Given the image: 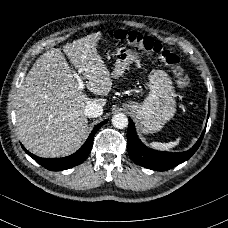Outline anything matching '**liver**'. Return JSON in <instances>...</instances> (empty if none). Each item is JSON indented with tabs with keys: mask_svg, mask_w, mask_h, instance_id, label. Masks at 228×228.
Masks as SVG:
<instances>
[{
	"mask_svg": "<svg viewBox=\"0 0 228 228\" xmlns=\"http://www.w3.org/2000/svg\"><path fill=\"white\" fill-rule=\"evenodd\" d=\"M100 32L67 43L63 52L86 81L87 89L105 96L112 88L110 72L96 46ZM89 101L104 106L105 99H90L82 90L60 49L41 55L22 82L17 96L18 135L31 153L46 158L64 157L78 150L86 138Z\"/></svg>",
	"mask_w": 228,
	"mask_h": 228,
	"instance_id": "1",
	"label": "liver"
}]
</instances>
